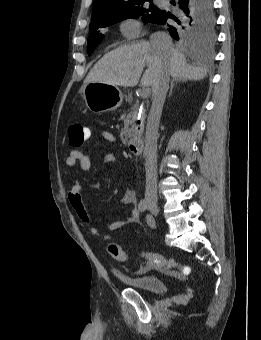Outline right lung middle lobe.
Returning a JSON list of instances; mask_svg holds the SVG:
<instances>
[{
    "instance_id": "obj_1",
    "label": "right lung middle lobe",
    "mask_w": 261,
    "mask_h": 340,
    "mask_svg": "<svg viewBox=\"0 0 261 340\" xmlns=\"http://www.w3.org/2000/svg\"><path fill=\"white\" fill-rule=\"evenodd\" d=\"M146 1L150 2L149 7L144 6ZM159 12L160 9L153 5L152 0H144L126 6L114 15L91 22V33L88 38V55L94 51L96 46L104 38V35L100 32L101 28H105L127 18L142 17L144 23H151ZM176 21L172 27L177 40H212L215 36L214 13H206L200 11L198 8H192L189 13Z\"/></svg>"
}]
</instances>
